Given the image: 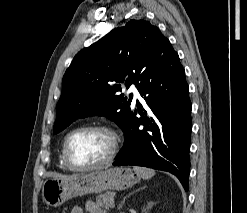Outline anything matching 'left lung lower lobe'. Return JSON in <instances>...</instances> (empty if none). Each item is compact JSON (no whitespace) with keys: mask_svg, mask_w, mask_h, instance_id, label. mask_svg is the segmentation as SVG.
<instances>
[{"mask_svg":"<svg viewBox=\"0 0 247 213\" xmlns=\"http://www.w3.org/2000/svg\"><path fill=\"white\" fill-rule=\"evenodd\" d=\"M137 89L150 112L147 114L137 102L123 129L126 139L113 165H138L170 172L188 191L192 105L178 54L173 52L157 62Z\"/></svg>","mask_w":247,"mask_h":213,"instance_id":"1","label":"left lung lower lobe"}]
</instances>
